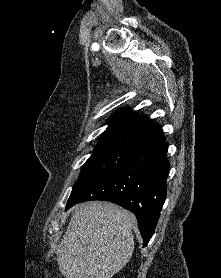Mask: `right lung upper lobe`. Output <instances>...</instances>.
I'll list each match as a JSON object with an SVG mask.
<instances>
[{"mask_svg":"<svg viewBox=\"0 0 221 278\" xmlns=\"http://www.w3.org/2000/svg\"><path fill=\"white\" fill-rule=\"evenodd\" d=\"M107 124L99 142L116 141L138 148L164 141L159 124L130 111L129 107L116 111Z\"/></svg>","mask_w":221,"mask_h":278,"instance_id":"1","label":"right lung upper lobe"}]
</instances>
